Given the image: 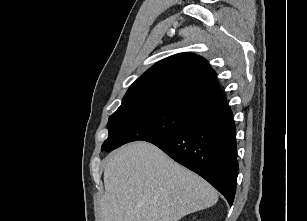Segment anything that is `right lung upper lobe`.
<instances>
[{"mask_svg": "<svg viewBox=\"0 0 307 221\" xmlns=\"http://www.w3.org/2000/svg\"><path fill=\"white\" fill-rule=\"evenodd\" d=\"M143 99L184 101L208 109L226 102L214 70L192 53L156 63L131 85L122 102Z\"/></svg>", "mask_w": 307, "mask_h": 221, "instance_id": "right-lung-upper-lobe-1", "label": "right lung upper lobe"}]
</instances>
